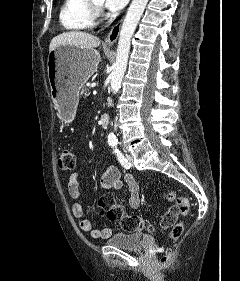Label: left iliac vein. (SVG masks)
Instances as JSON below:
<instances>
[{"label": "left iliac vein", "mask_w": 240, "mask_h": 281, "mask_svg": "<svg viewBox=\"0 0 240 281\" xmlns=\"http://www.w3.org/2000/svg\"><path fill=\"white\" fill-rule=\"evenodd\" d=\"M126 158H127L128 162H129V164L132 165L133 164V157H132V155L127 153L126 154Z\"/></svg>", "instance_id": "4c4485c4"}]
</instances>
